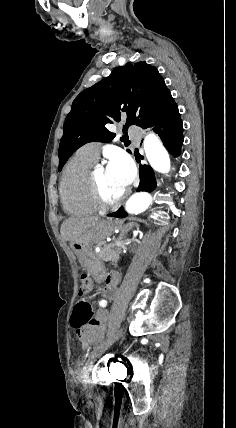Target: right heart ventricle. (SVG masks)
<instances>
[{
    "label": "right heart ventricle",
    "mask_w": 236,
    "mask_h": 428,
    "mask_svg": "<svg viewBox=\"0 0 236 428\" xmlns=\"http://www.w3.org/2000/svg\"><path fill=\"white\" fill-rule=\"evenodd\" d=\"M94 162L85 147H82L65 168L60 182V195L64 209L70 214L89 215L100 209L90 193V174Z\"/></svg>",
    "instance_id": "obj_1"
}]
</instances>
